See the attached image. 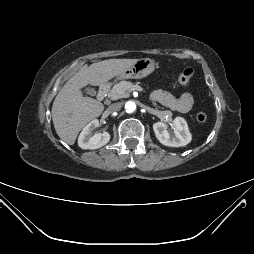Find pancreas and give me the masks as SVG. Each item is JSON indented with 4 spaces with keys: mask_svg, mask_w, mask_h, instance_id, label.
Segmentation results:
<instances>
[{
    "mask_svg": "<svg viewBox=\"0 0 254 254\" xmlns=\"http://www.w3.org/2000/svg\"><path fill=\"white\" fill-rule=\"evenodd\" d=\"M137 87H138V84H133L132 82H129V81H120L119 83L115 84L112 87L108 96L112 100L127 98L129 97L130 92Z\"/></svg>",
    "mask_w": 254,
    "mask_h": 254,
    "instance_id": "cf45deb5",
    "label": "pancreas"
}]
</instances>
